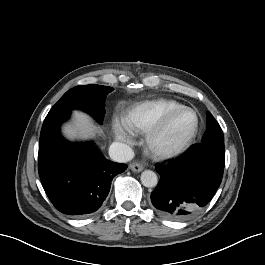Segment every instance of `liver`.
Returning <instances> with one entry per match:
<instances>
[{
  "instance_id": "1",
  "label": "liver",
  "mask_w": 265,
  "mask_h": 265,
  "mask_svg": "<svg viewBox=\"0 0 265 265\" xmlns=\"http://www.w3.org/2000/svg\"><path fill=\"white\" fill-rule=\"evenodd\" d=\"M99 130V127L93 124V121L88 115L79 111L74 112L73 123L65 124L63 127V133L69 139H87L94 136Z\"/></svg>"
}]
</instances>
